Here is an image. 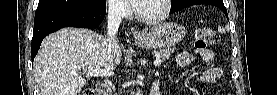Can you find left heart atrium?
Listing matches in <instances>:
<instances>
[{
    "mask_svg": "<svg viewBox=\"0 0 277 95\" xmlns=\"http://www.w3.org/2000/svg\"><path fill=\"white\" fill-rule=\"evenodd\" d=\"M126 3H129V4H138L140 1L139 0H125Z\"/></svg>",
    "mask_w": 277,
    "mask_h": 95,
    "instance_id": "left-heart-atrium-1",
    "label": "left heart atrium"
}]
</instances>
